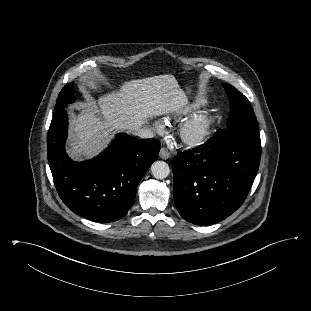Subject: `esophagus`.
I'll use <instances>...</instances> for the list:
<instances>
[{
	"label": "esophagus",
	"mask_w": 311,
	"mask_h": 311,
	"mask_svg": "<svg viewBox=\"0 0 311 311\" xmlns=\"http://www.w3.org/2000/svg\"><path fill=\"white\" fill-rule=\"evenodd\" d=\"M159 157L163 160H167L170 158V153L165 147H162L159 152Z\"/></svg>",
	"instance_id": "esophagus-1"
}]
</instances>
